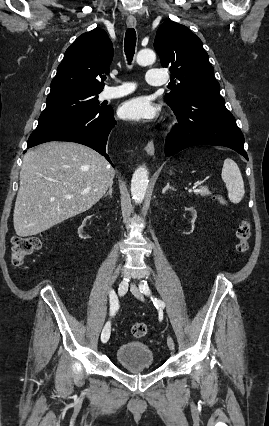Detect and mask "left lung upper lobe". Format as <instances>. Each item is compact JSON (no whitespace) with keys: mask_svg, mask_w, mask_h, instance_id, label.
Masks as SVG:
<instances>
[{"mask_svg":"<svg viewBox=\"0 0 269 426\" xmlns=\"http://www.w3.org/2000/svg\"><path fill=\"white\" fill-rule=\"evenodd\" d=\"M161 65L179 80L174 90L165 95L170 107L182 104L198 92H219L220 85L203 48L202 41L186 26L166 21L159 26L154 41Z\"/></svg>","mask_w":269,"mask_h":426,"instance_id":"1","label":"left lung upper lobe"}]
</instances>
